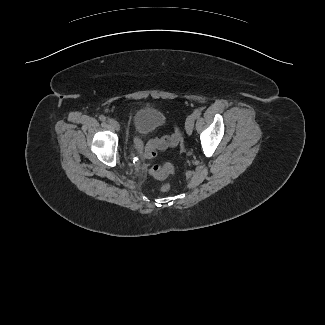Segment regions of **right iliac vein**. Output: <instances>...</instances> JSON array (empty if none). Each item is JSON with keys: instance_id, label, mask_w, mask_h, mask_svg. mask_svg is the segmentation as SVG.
Listing matches in <instances>:
<instances>
[{"instance_id": "obj_1", "label": "right iliac vein", "mask_w": 325, "mask_h": 325, "mask_svg": "<svg viewBox=\"0 0 325 325\" xmlns=\"http://www.w3.org/2000/svg\"><path fill=\"white\" fill-rule=\"evenodd\" d=\"M107 122L113 129L117 131L120 129V125L115 119L109 118Z\"/></svg>"}]
</instances>
